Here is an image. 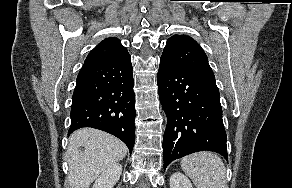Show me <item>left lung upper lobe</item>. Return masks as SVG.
<instances>
[{
    "label": "left lung upper lobe",
    "instance_id": "left-lung-upper-lobe-1",
    "mask_svg": "<svg viewBox=\"0 0 292 188\" xmlns=\"http://www.w3.org/2000/svg\"><path fill=\"white\" fill-rule=\"evenodd\" d=\"M161 58L215 79L205 52L190 36L173 35L170 37Z\"/></svg>",
    "mask_w": 292,
    "mask_h": 188
}]
</instances>
